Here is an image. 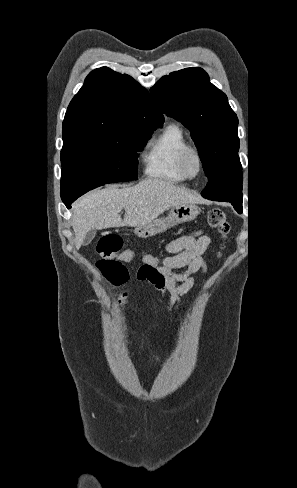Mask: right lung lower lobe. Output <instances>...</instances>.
Instances as JSON below:
<instances>
[{
	"label": "right lung lower lobe",
	"mask_w": 297,
	"mask_h": 488,
	"mask_svg": "<svg viewBox=\"0 0 297 488\" xmlns=\"http://www.w3.org/2000/svg\"><path fill=\"white\" fill-rule=\"evenodd\" d=\"M65 205H66L67 208H71V206H70L71 204L67 203Z\"/></svg>",
	"instance_id": "98d812e1"
}]
</instances>
